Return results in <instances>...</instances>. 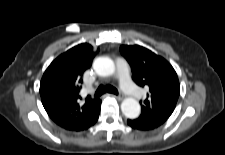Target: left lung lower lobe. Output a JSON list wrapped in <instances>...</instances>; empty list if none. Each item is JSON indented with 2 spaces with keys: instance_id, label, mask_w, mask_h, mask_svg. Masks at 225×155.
<instances>
[{
  "instance_id": "1",
  "label": "left lung lower lobe",
  "mask_w": 225,
  "mask_h": 155,
  "mask_svg": "<svg viewBox=\"0 0 225 155\" xmlns=\"http://www.w3.org/2000/svg\"><path fill=\"white\" fill-rule=\"evenodd\" d=\"M127 123L130 127L134 128V129H138V130H152L155 129L157 127H159L160 125H162L164 122L161 121H156V120H150V121H140L138 119H128Z\"/></svg>"
}]
</instances>
